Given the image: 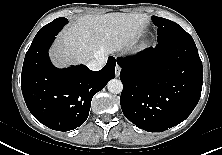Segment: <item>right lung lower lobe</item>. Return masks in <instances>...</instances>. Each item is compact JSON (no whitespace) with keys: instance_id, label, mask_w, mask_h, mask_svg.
I'll return each mask as SVG.
<instances>
[{"instance_id":"1","label":"right lung lower lobe","mask_w":222,"mask_h":155,"mask_svg":"<svg viewBox=\"0 0 222 155\" xmlns=\"http://www.w3.org/2000/svg\"><path fill=\"white\" fill-rule=\"evenodd\" d=\"M56 35L30 47L24 59L21 88L31 114L56 131H69L87 119L92 97L115 77V59L100 71L85 65L56 68L48 50Z\"/></svg>"}]
</instances>
